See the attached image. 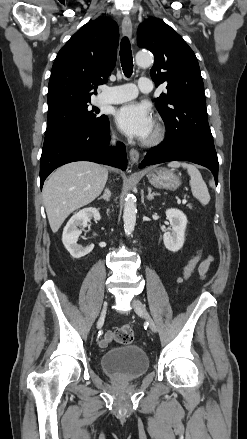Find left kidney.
Instances as JSON below:
<instances>
[{"label":"left kidney","instance_id":"5707ae66","mask_svg":"<svg viewBox=\"0 0 247 439\" xmlns=\"http://www.w3.org/2000/svg\"><path fill=\"white\" fill-rule=\"evenodd\" d=\"M166 217L170 222L171 230L164 233V246L172 252L179 251L185 241V229L187 226L186 215L178 209L166 210Z\"/></svg>","mask_w":247,"mask_h":439}]
</instances>
